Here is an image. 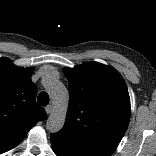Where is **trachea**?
I'll return each mask as SVG.
<instances>
[{"label":"trachea","mask_w":156,"mask_h":156,"mask_svg":"<svg viewBox=\"0 0 156 156\" xmlns=\"http://www.w3.org/2000/svg\"><path fill=\"white\" fill-rule=\"evenodd\" d=\"M37 102L42 105L46 106L49 103V96L46 92H41L37 97Z\"/></svg>","instance_id":"3493384b"}]
</instances>
